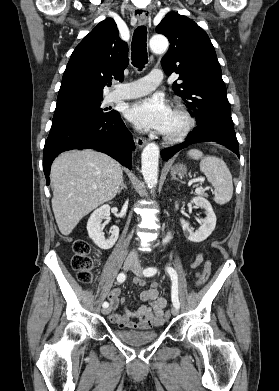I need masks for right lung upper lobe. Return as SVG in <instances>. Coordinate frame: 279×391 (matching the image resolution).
<instances>
[{"mask_svg":"<svg viewBox=\"0 0 279 391\" xmlns=\"http://www.w3.org/2000/svg\"><path fill=\"white\" fill-rule=\"evenodd\" d=\"M129 63L128 45L112 18L100 22L77 45L64 71L56 109L103 99L111 80H123Z\"/></svg>","mask_w":279,"mask_h":391,"instance_id":"1","label":"right lung upper lobe"}]
</instances>
